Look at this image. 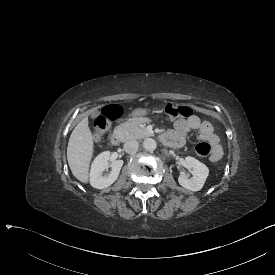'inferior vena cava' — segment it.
I'll return each instance as SVG.
<instances>
[{"label": "inferior vena cava", "mask_w": 275, "mask_h": 275, "mask_svg": "<svg viewBox=\"0 0 275 275\" xmlns=\"http://www.w3.org/2000/svg\"><path fill=\"white\" fill-rule=\"evenodd\" d=\"M139 143L136 140H129L126 143H124V150L127 153H135L138 149Z\"/></svg>", "instance_id": "1"}]
</instances>
